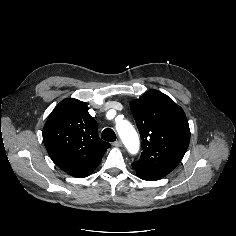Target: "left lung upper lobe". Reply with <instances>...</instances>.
I'll return each mask as SVG.
<instances>
[{
  "label": "left lung upper lobe",
  "mask_w": 236,
  "mask_h": 236,
  "mask_svg": "<svg viewBox=\"0 0 236 236\" xmlns=\"http://www.w3.org/2000/svg\"><path fill=\"white\" fill-rule=\"evenodd\" d=\"M143 141V152L133 168L155 178L168 175L182 160L190 141L183 109L170 97L149 90L130 103Z\"/></svg>",
  "instance_id": "1"
}]
</instances>
